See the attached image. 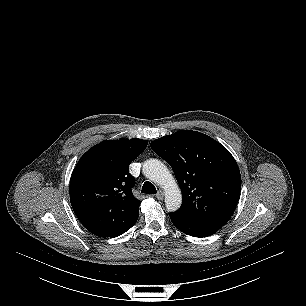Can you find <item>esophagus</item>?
<instances>
[{
  "label": "esophagus",
  "instance_id": "obj_1",
  "mask_svg": "<svg viewBox=\"0 0 306 306\" xmlns=\"http://www.w3.org/2000/svg\"><path fill=\"white\" fill-rule=\"evenodd\" d=\"M156 198H157L158 200H163V198H164V192H163L162 190H159V191L157 192V194H156Z\"/></svg>",
  "mask_w": 306,
  "mask_h": 306
}]
</instances>
